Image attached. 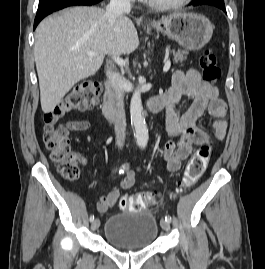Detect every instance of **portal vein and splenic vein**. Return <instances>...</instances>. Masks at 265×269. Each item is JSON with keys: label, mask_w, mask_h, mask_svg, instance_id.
<instances>
[{"label": "portal vein and splenic vein", "mask_w": 265, "mask_h": 269, "mask_svg": "<svg viewBox=\"0 0 265 269\" xmlns=\"http://www.w3.org/2000/svg\"><path fill=\"white\" fill-rule=\"evenodd\" d=\"M88 56L90 57H95L97 56V53L96 52H93V51H89L87 52ZM114 60L115 62L120 66V67H123L125 66L127 63L126 61H124L122 58H120L119 56H116L114 55ZM170 66H171V63H170V60H167L164 64V67H163V72H167L169 69H170Z\"/></svg>", "instance_id": "1"}]
</instances>
